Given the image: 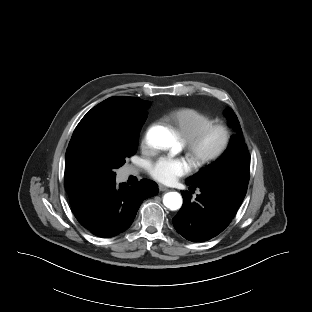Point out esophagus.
Instances as JSON below:
<instances>
[{"label": "esophagus", "instance_id": "1", "mask_svg": "<svg viewBox=\"0 0 312 312\" xmlns=\"http://www.w3.org/2000/svg\"><path fill=\"white\" fill-rule=\"evenodd\" d=\"M158 188H159V191H168L169 190L166 186H164L162 184H159Z\"/></svg>", "mask_w": 312, "mask_h": 312}]
</instances>
